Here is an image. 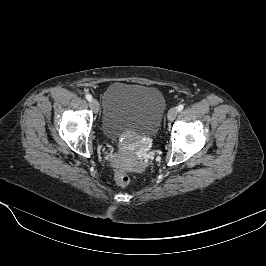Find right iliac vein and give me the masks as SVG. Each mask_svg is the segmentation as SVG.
<instances>
[{
  "instance_id": "obj_1",
  "label": "right iliac vein",
  "mask_w": 266,
  "mask_h": 266,
  "mask_svg": "<svg viewBox=\"0 0 266 266\" xmlns=\"http://www.w3.org/2000/svg\"><path fill=\"white\" fill-rule=\"evenodd\" d=\"M90 107L95 113H97L99 111V103H98V101L95 100V99H92L90 101Z\"/></svg>"
}]
</instances>
